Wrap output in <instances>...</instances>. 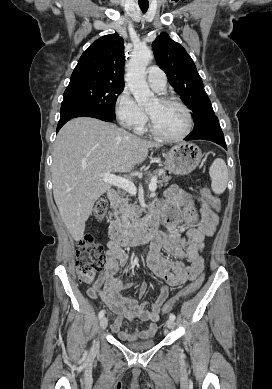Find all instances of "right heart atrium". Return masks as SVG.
<instances>
[{
	"mask_svg": "<svg viewBox=\"0 0 272 389\" xmlns=\"http://www.w3.org/2000/svg\"><path fill=\"white\" fill-rule=\"evenodd\" d=\"M115 113L120 124L126 128L137 130L147 120L145 111L139 107L128 89H123L115 101Z\"/></svg>",
	"mask_w": 272,
	"mask_h": 389,
	"instance_id": "d8ad5b80",
	"label": "right heart atrium"
}]
</instances>
